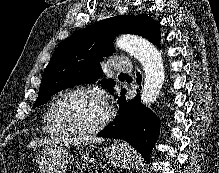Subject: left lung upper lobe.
<instances>
[{
  "instance_id": "1",
  "label": "left lung upper lobe",
  "mask_w": 219,
  "mask_h": 173,
  "mask_svg": "<svg viewBox=\"0 0 219 173\" xmlns=\"http://www.w3.org/2000/svg\"><path fill=\"white\" fill-rule=\"evenodd\" d=\"M159 30L158 22L142 14L105 19L74 33L53 53L44 70L33 108L63 89L96 82L102 75L101 61L115 51L113 39L116 35L135 34L156 44L160 40ZM98 83L113 94L115 82L112 79Z\"/></svg>"
}]
</instances>
